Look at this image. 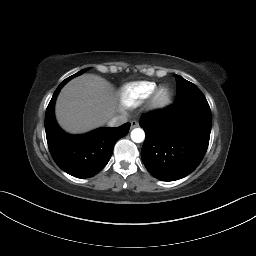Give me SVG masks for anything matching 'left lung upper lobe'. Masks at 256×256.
Masks as SVG:
<instances>
[{"instance_id": "obj_1", "label": "left lung upper lobe", "mask_w": 256, "mask_h": 256, "mask_svg": "<svg viewBox=\"0 0 256 256\" xmlns=\"http://www.w3.org/2000/svg\"><path fill=\"white\" fill-rule=\"evenodd\" d=\"M177 82V100L176 102H181L194 98H205L200 89L193 83L185 80L179 75L175 76Z\"/></svg>"}]
</instances>
